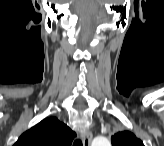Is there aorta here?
<instances>
[{
	"label": "aorta",
	"instance_id": "aorta-1",
	"mask_svg": "<svg viewBox=\"0 0 164 146\" xmlns=\"http://www.w3.org/2000/svg\"><path fill=\"white\" fill-rule=\"evenodd\" d=\"M92 146H110V141L105 137H96L92 141Z\"/></svg>",
	"mask_w": 164,
	"mask_h": 146
}]
</instances>
